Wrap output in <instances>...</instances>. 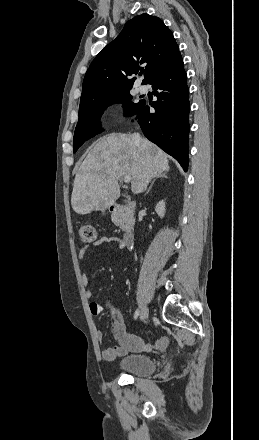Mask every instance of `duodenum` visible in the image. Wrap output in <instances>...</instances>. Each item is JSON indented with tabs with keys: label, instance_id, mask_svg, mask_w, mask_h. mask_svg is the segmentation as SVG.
Returning a JSON list of instances; mask_svg holds the SVG:
<instances>
[{
	"label": "duodenum",
	"instance_id": "duodenum-1",
	"mask_svg": "<svg viewBox=\"0 0 259 440\" xmlns=\"http://www.w3.org/2000/svg\"><path fill=\"white\" fill-rule=\"evenodd\" d=\"M135 209V203L133 201H129L127 203L119 204L114 203L109 207V210L115 216H119L121 214H132ZM123 241L126 247H132L134 243V231L132 227H128L123 234Z\"/></svg>",
	"mask_w": 259,
	"mask_h": 440
}]
</instances>
